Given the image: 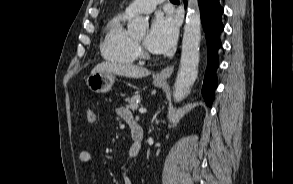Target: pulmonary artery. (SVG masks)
Listing matches in <instances>:
<instances>
[{
    "mask_svg": "<svg viewBox=\"0 0 293 184\" xmlns=\"http://www.w3.org/2000/svg\"><path fill=\"white\" fill-rule=\"evenodd\" d=\"M164 0H134L125 9L127 15H134L138 13H151L158 4Z\"/></svg>",
    "mask_w": 293,
    "mask_h": 184,
    "instance_id": "pulmonary-artery-1",
    "label": "pulmonary artery"
}]
</instances>
